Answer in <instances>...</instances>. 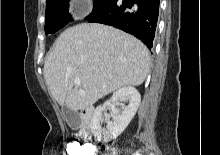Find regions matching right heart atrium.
Segmentation results:
<instances>
[{"mask_svg":"<svg viewBox=\"0 0 220 155\" xmlns=\"http://www.w3.org/2000/svg\"><path fill=\"white\" fill-rule=\"evenodd\" d=\"M91 12V7L89 5H83L79 8L77 16L79 18H82L86 15H88Z\"/></svg>","mask_w":220,"mask_h":155,"instance_id":"right-heart-atrium-1","label":"right heart atrium"}]
</instances>
